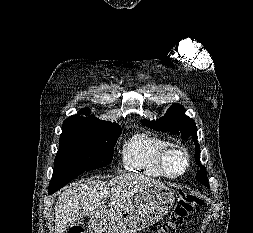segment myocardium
Here are the masks:
<instances>
[{
  "instance_id": "f54148a6",
  "label": "myocardium",
  "mask_w": 253,
  "mask_h": 233,
  "mask_svg": "<svg viewBox=\"0 0 253 233\" xmlns=\"http://www.w3.org/2000/svg\"><path fill=\"white\" fill-rule=\"evenodd\" d=\"M175 157L182 159V166L179 170L174 171L171 168V163ZM191 158L188 151L183 147L169 146L161 152L157 158V165L164 176L169 178H177L183 176L189 169Z\"/></svg>"
}]
</instances>
